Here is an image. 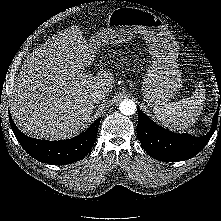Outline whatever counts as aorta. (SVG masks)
Listing matches in <instances>:
<instances>
[{
	"mask_svg": "<svg viewBox=\"0 0 221 221\" xmlns=\"http://www.w3.org/2000/svg\"><path fill=\"white\" fill-rule=\"evenodd\" d=\"M119 110L124 115H132L136 112V104L131 99H125L120 103Z\"/></svg>",
	"mask_w": 221,
	"mask_h": 221,
	"instance_id": "aorta-1",
	"label": "aorta"
}]
</instances>
